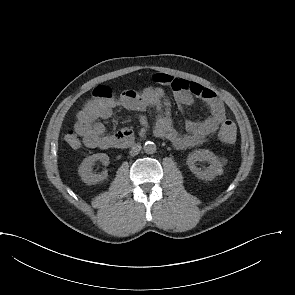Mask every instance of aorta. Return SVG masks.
<instances>
[{"mask_svg": "<svg viewBox=\"0 0 295 295\" xmlns=\"http://www.w3.org/2000/svg\"><path fill=\"white\" fill-rule=\"evenodd\" d=\"M144 151L147 154H153L156 152V145L153 142H146L144 145Z\"/></svg>", "mask_w": 295, "mask_h": 295, "instance_id": "aorta-1", "label": "aorta"}]
</instances>
